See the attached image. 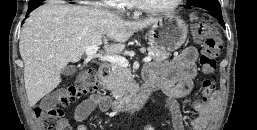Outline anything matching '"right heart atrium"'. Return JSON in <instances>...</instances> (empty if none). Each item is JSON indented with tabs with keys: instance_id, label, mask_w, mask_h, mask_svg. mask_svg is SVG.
<instances>
[{
	"instance_id": "1",
	"label": "right heart atrium",
	"mask_w": 257,
	"mask_h": 130,
	"mask_svg": "<svg viewBox=\"0 0 257 130\" xmlns=\"http://www.w3.org/2000/svg\"><path fill=\"white\" fill-rule=\"evenodd\" d=\"M130 3V0H101L100 4L109 7L115 8L118 10L125 9Z\"/></svg>"
}]
</instances>
